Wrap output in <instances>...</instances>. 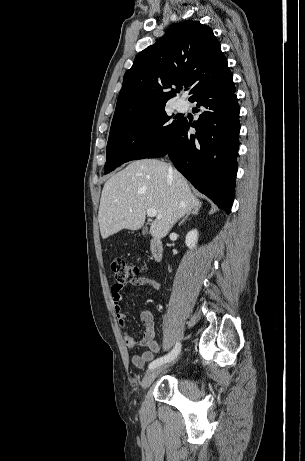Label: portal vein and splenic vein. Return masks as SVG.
Here are the masks:
<instances>
[{"label": "portal vein and splenic vein", "mask_w": 305, "mask_h": 461, "mask_svg": "<svg viewBox=\"0 0 305 461\" xmlns=\"http://www.w3.org/2000/svg\"><path fill=\"white\" fill-rule=\"evenodd\" d=\"M147 215L149 217L162 218V215L157 214V211L154 208H148Z\"/></svg>", "instance_id": "1"}]
</instances>
